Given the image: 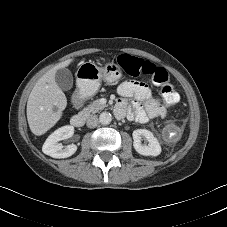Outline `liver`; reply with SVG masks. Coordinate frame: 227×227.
Segmentation results:
<instances>
[{"instance_id": "1", "label": "liver", "mask_w": 227, "mask_h": 227, "mask_svg": "<svg viewBox=\"0 0 227 227\" xmlns=\"http://www.w3.org/2000/svg\"><path fill=\"white\" fill-rule=\"evenodd\" d=\"M73 60L58 63L34 85L27 101V120L34 135L45 134L62 117L67 106V98L57 85L55 74L57 70L69 66Z\"/></svg>"}]
</instances>
